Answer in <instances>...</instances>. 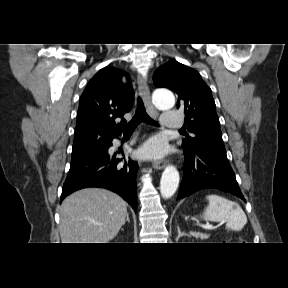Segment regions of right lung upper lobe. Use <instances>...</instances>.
<instances>
[{
	"mask_svg": "<svg viewBox=\"0 0 288 288\" xmlns=\"http://www.w3.org/2000/svg\"><path fill=\"white\" fill-rule=\"evenodd\" d=\"M128 74L107 66L86 86L79 102L73 151L95 150L119 135L115 119L122 118L133 104V89L122 83Z\"/></svg>",
	"mask_w": 288,
	"mask_h": 288,
	"instance_id": "obj_1",
	"label": "right lung upper lobe"
}]
</instances>
